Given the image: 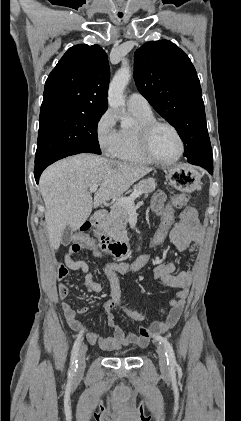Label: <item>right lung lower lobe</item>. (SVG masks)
<instances>
[{
    "label": "right lung lower lobe",
    "instance_id": "1",
    "mask_svg": "<svg viewBox=\"0 0 241 421\" xmlns=\"http://www.w3.org/2000/svg\"><path fill=\"white\" fill-rule=\"evenodd\" d=\"M75 154H78V153H75ZM71 155H74V154H71ZM68 156H70V155H68ZM64 157H67V156H64ZM64 157H62V158H64ZM59 159H61V158H57V159H54V160L49 161V162H46V163L35 164V168H34V175H35V180H36V182H37V183H38V181H39V177H40L41 173L43 172V170H44V169H45L48 165L52 164L53 162H55V161H57V160H59Z\"/></svg>",
    "mask_w": 241,
    "mask_h": 421
}]
</instances>
